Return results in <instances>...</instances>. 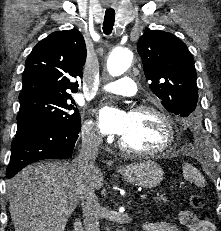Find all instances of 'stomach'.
I'll list each match as a JSON object with an SVG mask.
<instances>
[{"mask_svg":"<svg viewBox=\"0 0 221 231\" xmlns=\"http://www.w3.org/2000/svg\"><path fill=\"white\" fill-rule=\"evenodd\" d=\"M123 178L135 186L154 188L163 180L162 168L152 160H142L119 168Z\"/></svg>","mask_w":221,"mask_h":231,"instance_id":"stomach-1","label":"stomach"}]
</instances>
